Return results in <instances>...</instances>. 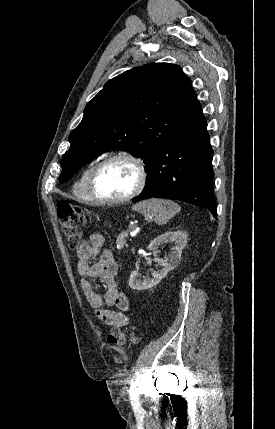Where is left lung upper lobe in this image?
Here are the masks:
<instances>
[{
	"label": "left lung upper lobe",
	"instance_id": "obj_1",
	"mask_svg": "<svg viewBox=\"0 0 275 429\" xmlns=\"http://www.w3.org/2000/svg\"><path fill=\"white\" fill-rule=\"evenodd\" d=\"M194 92L178 65L151 63L109 80L69 135L60 183L111 150H128L145 168L186 113Z\"/></svg>",
	"mask_w": 275,
	"mask_h": 429
}]
</instances>
